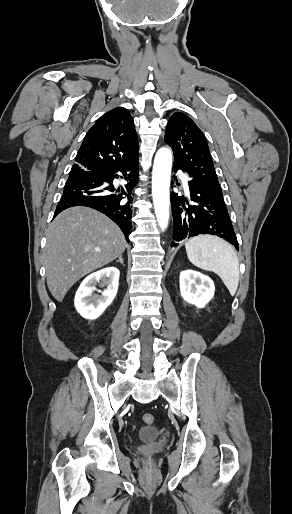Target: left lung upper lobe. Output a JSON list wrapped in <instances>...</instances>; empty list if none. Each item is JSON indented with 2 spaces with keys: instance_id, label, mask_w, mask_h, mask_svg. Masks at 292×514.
<instances>
[{
  "instance_id": "obj_1",
  "label": "left lung upper lobe",
  "mask_w": 292,
  "mask_h": 514,
  "mask_svg": "<svg viewBox=\"0 0 292 514\" xmlns=\"http://www.w3.org/2000/svg\"><path fill=\"white\" fill-rule=\"evenodd\" d=\"M165 142L174 152V165L186 172L190 181L221 191L206 138L187 115L181 112L172 115Z\"/></svg>"
}]
</instances>
